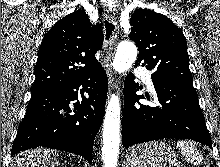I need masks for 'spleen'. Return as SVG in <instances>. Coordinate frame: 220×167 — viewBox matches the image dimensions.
I'll return each mask as SVG.
<instances>
[{"label": "spleen", "mask_w": 220, "mask_h": 167, "mask_svg": "<svg viewBox=\"0 0 220 167\" xmlns=\"http://www.w3.org/2000/svg\"><path fill=\"white\" fill-rule=\"evenodd\" d=\"M177 147L181 151L182 156L191 165L196 166L202 163L203 161L202 155L191 141L180 140L177 142Z\"/></svg>", "instance_id": "1"}]
</instances>
